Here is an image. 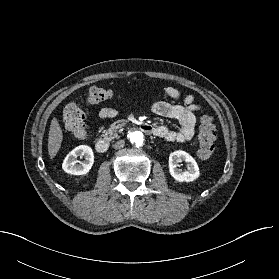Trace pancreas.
I'll return each mask as SVG.
<instances>
[{"label":"pancreas","mask_w":279,"mask_h":279,"mask_svg":"<svg viewBox=\"0 0 279 279\" xmlns=\"http://www.w3.org/2000/svg\"><path fill=\"white\" fill-rule=\"evenodd\" d=\"M124 125V123L114 122L113 124H111L109 129L102 132V136L107 138L108 140L117 138L119 137L118 132H122V128Z\"/></svg>","instance_id":"pancreas-1"}]
</instances>
